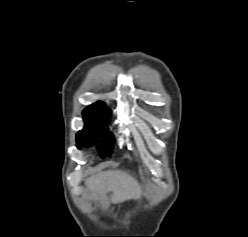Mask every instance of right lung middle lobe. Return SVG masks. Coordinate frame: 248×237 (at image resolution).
<instances>
[{
	"mask_svg": "<svg viewBox=\"0 0 248 237\" xmlns=\"http://www.w3.org/2000/svg\"><path fill=\"white\" fill-rule=\"evenodd\" d=\"M85 127L76 135L77 147H88L94 145L99 138L102 139L98 142L97 148L101 157H106L111 154L114 138L108 132L107 118H96L84 116Z\"/></svg>",
	"mask_w": 248,
	"mask_h": 237,
	"instance_id": "right-lung-middle-lobe-1",
	"label": "right lung middle lobe"
}]
</instances>
